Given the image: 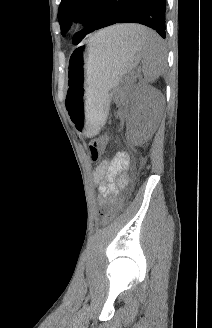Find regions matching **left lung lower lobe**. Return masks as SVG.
<instances>
[{
    "instance_id": "obj_1",
    "label": "left lung lower lobe",
    "mask_w": 212,
    "mask_h": 328,
    "mask_svg": "<svg viewBox=\"0 0 212 328\" xmlns=\"http://www.w3.org/2000/svg\"><path fill=\"white\" fill-rule=\"evenodd\" d=\"M166 0H106L94 30L116 23H139L166 38Z\"/></svg>"
}]
</instances>
